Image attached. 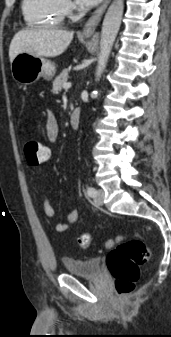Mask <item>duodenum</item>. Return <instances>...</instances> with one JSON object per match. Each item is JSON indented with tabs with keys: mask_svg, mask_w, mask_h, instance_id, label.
<instances>
[{
	"mask_svg": "<svg viewBox=\"0 0 171 337\" xmlns=\"http://www.w3.org/2000/svg\"><path fill=\"white\" fill-rule=\"evenodd\" d=\"M80 123V110L78 108H75L70 116V124L72 128H78Z\"/></svg>",
	"mask_w": 171,
	"mask_h": 337,
	"instance_id": "obj_1",
	"label": "duodenum"
}]
</instances>
